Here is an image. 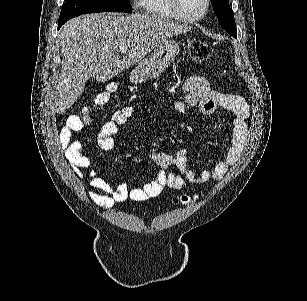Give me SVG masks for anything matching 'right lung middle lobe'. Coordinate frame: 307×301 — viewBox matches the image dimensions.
I'll use <instances>...</instances> for the list:
<instances>
[{
    "mask_svg": "<svg viewBox=\"0 0 307 301\" xmlns=\"http://www.w3.org/2000/svg\"><path fill=\"white\" fill-rule=\"evenodd\" d=\"M132 11L130 0H66L60 13L58 28L70 18L93 12Z\"/></svg>",
    "mask_w": 307,
    "mask_h": 301,
    "instance_id": "dd1d6c3e",
    "label": "right lung middle lobe"
}]
</instances>
